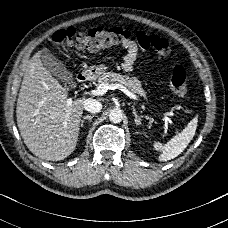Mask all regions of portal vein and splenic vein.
I'll use <instances>...</instances> for the list:
<instances>
[{"label":"portal vein and splenic vein","mask_w":228,"mask_h":228,"mask_svg":"<svg viewBox=\"0 0 228 228\" xmlns=\"http://www.w3.org/2000/svg\"><path fill=\"white\" fill-rule=\"evenodd\" d=\"M116 89H120L127 96L133 99H136V95L131 93L128 89H126V87H124L122 84H119V83H115V84L102 83L97 87V89L92 90V94L95 96H102L106 94L108 90H116ZM178 110H183V105H176V107H173V110L166 112V115H162V120L164 121L163 129H162L163 139L167 138L169 127L175 130V132H180V126L172 122L171 119H168V117L180 116V111Z\"/></svg>","instance_id":"obj_1"}]
</instances>
